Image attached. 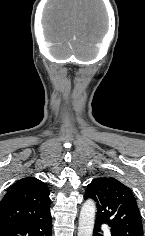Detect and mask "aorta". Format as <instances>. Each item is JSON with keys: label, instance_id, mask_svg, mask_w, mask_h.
<instances>
[{"label": "aorta", "instance_id": "obj_1", "mask_svg": "<svg viewBox=\"0 0 145 236\" xmlns=\"http://www.w3.org/2000/svg\"><path fill=\"white\" fill-rule=\"evenodd\" d=\"M96 205L93 200H87L83 204L78 225V236H92Z\"/></svg>", "mask_w": 145, "mask_h": 236}]
</instances>
